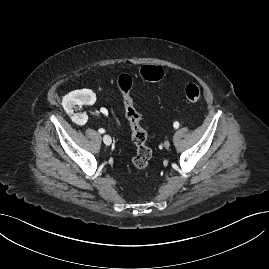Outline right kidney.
Returning <instances> with one entry per match:
<instances>
[{
    "instance_id": "obj_1",
    "label": "right kidney",
    "mask_w": 269,
    "mask_h": 269,
    "mask_svg": "<svg viewBox=\"0 0 269 269\" xmlns=\"http://www.w3.org/2000/svg\"><path fill=\"white\" fill-rule=\"evenodd\" d=\"M96 101V94L90 89L75 90L63 97L62 105L67 114H73L75 105H93ZM85 123L88 119L86 114L80 115Z\"/></svg>"
}]
</instances>
